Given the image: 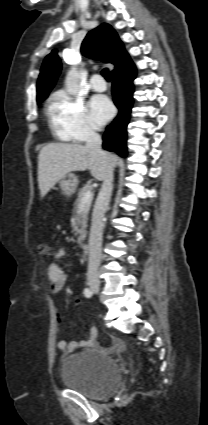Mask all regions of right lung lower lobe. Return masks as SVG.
Here are the masks:
<instances>
[{"instance_id":"98d812e1","label":"right lung lower lobe","mask_w":208,"mask_h":425,"mask_svg":"<svg viewBox=\"0 0 208 425\" xmlns=\"http://www.w3.org/2000/svg\"><path fill=\"white\" fill-rule=\"evenodd\" d=\"M136 77L134 64L112 74L113 101L119 109L118 116L114 119L103 136V148L116 152L122 157L127 155L126 128L129 123L133 106V80Z\"/></svg>"}]
</instances>
